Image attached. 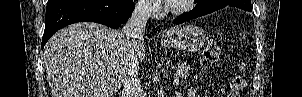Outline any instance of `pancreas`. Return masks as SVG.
<instances>
[{"mask_svg":"<svg viewBox=\"0 0 302 97\" xmlns=\"http://www.w3.org/2000/svg\"><path fill=\"white\" fill-rule=\"evenodd\" d=\"M177 76L178 77H188L190 73V66L187 65L186 63H178L177 67Z\"/></svg>","mask_w":302,"mask_h":97,"instance_id":"cf45deb5","label":"pancreas"}]
</instances>
